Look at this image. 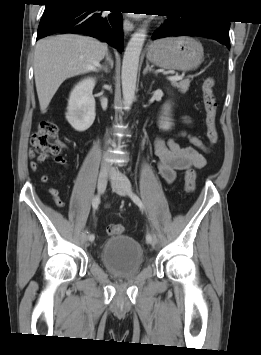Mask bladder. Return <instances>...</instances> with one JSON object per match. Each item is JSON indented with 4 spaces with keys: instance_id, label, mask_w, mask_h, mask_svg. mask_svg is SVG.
I'll list each match as a JSON object with an SVG mask.
<instances>
[{
    "instance_id": "1",
    "label": "bladder",
    "mask_w": 261,
    "mask_h": 355,
    "mask_svg": "<svg viewBox=\"0 0 261 355\" xmlns=\"http://www.w3.org/2000/svg\"><path fill=\"white\" fill-rule=\"evenodd\" d=\"M100 259L105 268L120 279L135 278L143 262V249L130 236L114 235L107 238L100 250Z\"/></svg>"
}]
</instances>
